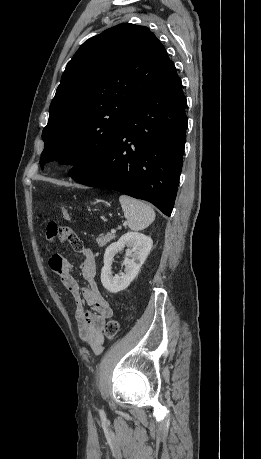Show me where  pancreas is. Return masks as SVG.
Segmentation results:
<instances>
[{"mask_svg": "<svg viewBox=\"0 0 261 459\" xmlns=\"http://www.w3.org/2000/svg\"><path fill=\"white\" fill-rule=\"evenodd\" d=\"M115 238H116L115 234H110V233L100 234L98 238L96 239V242L99 246H104Z\"/></svg>", "mask_w": 261, "mask_h": 459, "instance_id": "1", "label": "pancreas"}]
</instances>
